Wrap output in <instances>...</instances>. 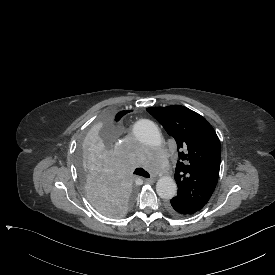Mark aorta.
<instances>
[{"label":"aorta","instance_id":"762f6f07","mask_svg":"<svg viewBox=\"0 0 275 275\" xmlns=\"http://www.w3.org/2000/svg\"><path fill=\"white\" fill-rule=\"evenodd\" d=\"M133 132L139 141L148 145L161 144V134L153 121L141 119L134 125ZM156 191L162 199H172L177 194V186L170 176L161 177L156 183Z\"/></svg>","mask_w":275,"mask_h":275}]
</instances>
